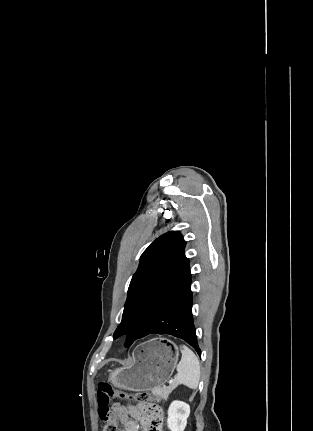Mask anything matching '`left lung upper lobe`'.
<instances>
[{"label": "left lung upper lobe", "mask_w": 313, "mask_h": 431, "mask_svg": "<svg viewBox=\"0 0 313 431\" xmlns=\"http://www.w3.org/2000/svg\"><path fill=\"white\" fill-rule=\"evenodd\" d=\"M185 245L178 231H170L153 241L141 255L129 285L122 321L113 335L118 338L127 334L126 347L167 302L191 283Z\"/></svg>", "instance_id": "obj_1"}]
</instances>
